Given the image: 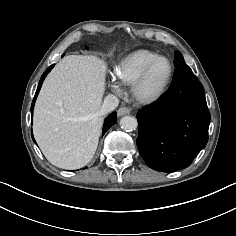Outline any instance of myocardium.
Returning a JSON list of instances; mask_svg holds the SVG:
<instances>
[{
	"label": "myocardium",
	"mask_w": 236,
	"mask_h": 236,
	"mask_svg": "<svg viewBox=\"0 0 236 236\" xmlns=\"http://www.w3.org/2000/svg\"><path fill=\"white\" fill-rule=\"evenodd\" d=\"M160 60H165L168 63L169 70H168L167 78H166L164 84L162 85V87L156 93H153V94L145 93L143 90V85H144L150 71L152 70V68ZM173 73H174L173 64L169 58H167L165 56H158V57L154 58L152 61H150L145 66V68L141 71V73L138 75V77L133 82L132 91H133L134 97L139 102H142L145 104L155 103V102L159 101L161 98H163V96L168 91L170 84L172 82V79H173Z\"/></svg>",
	"instance_id": "1"
}]
</instances>
